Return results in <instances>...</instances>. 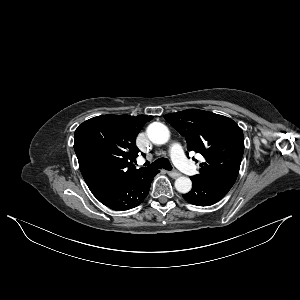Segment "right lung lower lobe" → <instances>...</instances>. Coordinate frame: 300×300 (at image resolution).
<instances>
[{"mask_svg":"<svg viewBox=\"0 0 300 300\" xmlns=\"http://www.w3.org/2000/svg\"><path fill=\"white\" fill-rule=\"evenodd\" d=\"M159 171L129 178L109 188L92 192L105 206L113 210H128L141 204L146 198L151 181Z\"/></svg>","mask_w":300,"mask_h":300,"instance_id":"obj_1","label":"right lung lower lobe"}]
</instances>
